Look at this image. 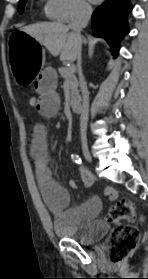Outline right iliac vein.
I'll return each instance as SVG.
<instances>
[{"mask_svg": "<svg viewBox=\"0 0 148 279\" xmlns=\"http://www.w3.org/2000/svg\"><path fill=\"white\" fill-rule=\"evenodd\" d=\"M83 154H84L86 160L91 163L92 162V157H91V154H90L87 147H83Z\"/></svg>", "mask_w": 148, "mask_h": 279, "instance_id": "right-iliac-vein-1", "label": "right iliac vein"}]
</instances>
